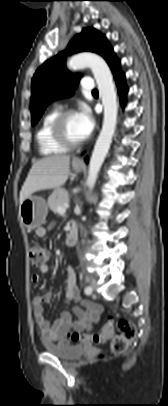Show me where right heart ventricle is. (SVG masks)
I'll return each instance as SVG.
<instances>
[{
  "label": "right heart ventricle",
  "mask_w": 168,
  "mask_h": 406,
  "mask_svg": "<svg viewBox=\"0 0 168 406\" xmlns=\"http://www.w3.org/2000/svg\"><path fill=\"white\" fill-rule=\"evenodd\" d=\"M59 113L58 109H52L44 115L36 132V141L42 155L50 156L66 151V147L56 143L52 137L51 126Z\"/></svg>",
  "instance_id": "e07e8e85"
}]
</instances>
